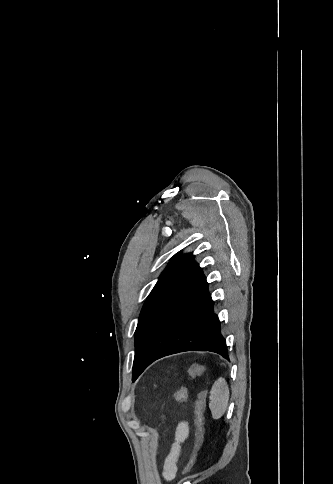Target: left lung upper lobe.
Instances as JSON below:
<instances>
[{"label":"left lung upper lobe","instance_id":"1","mask_svg":"<svg viewBox=\"0 0 333 484\" xmlns=\"http://www.w3.org/2000/svg\"><path fill=\"white\" fill-rule=\"evenodd\" d=\"M193 261L192 253H188L185 255H176L171 263L166 267L163 273L160 275L158 282L154 286L153 290L149 294L148 298L146 299L143 308L141 310L138 325L135 332V342L138 339L139 332L141 330L142 325L144 324L148 314L150 313L152 307L164 292V290L168 287V285L172 282L175 276L179 273V271L183 268L185 264L190 263ZM142 373V372H141ZM139 369L133 368V378L139 376Z\"/></svg>","mask_w":333,"mask_h":484}]
</instances>
